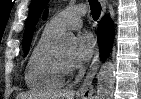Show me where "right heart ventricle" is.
<instances>
[{
    "mask_svg": "<svg viewBox=\"0 0 141 99\" xmlns=\"http://www.w3.org/2000/svg\"><path fill=\"white\" fill-rule=\"evenodd\" d=\"M56 36L44 30L31 52L25 71V82L32 90H55L65 83V74L59 68L53 51Z\"/></svg>",
    "mask_w": 141,
    "mask_h": 99,
    "instance_id": "e07e8e85",
    "label": "right heart ventricle"
}]
</instances>
